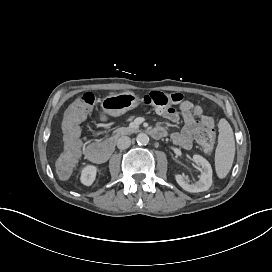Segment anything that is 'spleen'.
I'll return each instance as SVG.
<instances>
[{
    "mask_svg": "<svg viewBox=\"0 0 272 272\" xmlns=\"http://www.w3.org/2000/svg\"><path fill=\"white\" fill-rule=\"evenodd\" d=\"M218 145L215 151V169L219 178H225L229 173L234 156L235 141L233 130L226 119H220L218 123Z\"/></svg>",
    "mask_w": 272,
    "mask_h": 272,
    "instance_id": "3e777b00",
    "label": "spleen"
}]
</instances>
